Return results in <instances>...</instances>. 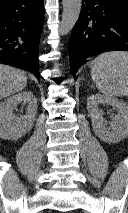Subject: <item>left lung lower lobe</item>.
<instances>
[{
  "label": "left lung lower lobe",
  "instance_id": "0a47b994",
  "mask_svg": "<svg viewBox=\"0 0 128 213\" xmlns=\"http://www.w3.org/2000/svg\"><path fill=\"white\" fill-rule=\"evenodd\" d=\"M69 45L73 77L83 61L114 50L128 51V0H82Z\"/></svg>",
  "mask_w": 128,
  "mask_h": 213
}]
</instances>
